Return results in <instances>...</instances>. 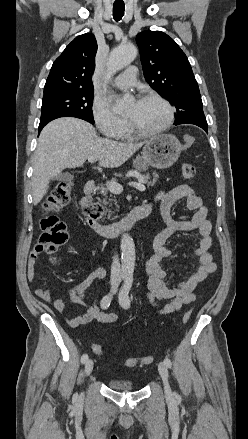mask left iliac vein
<instances>
[{
	"mask_svg": "<svg viewBox=\"0 0 248 439\" xmlns=\"http://www.w3.org/2000/svg\"><path fill=\"white\" fill-rule=\"evenodd\" d=\"M158 371L159 374L162 378L163 384H164V392L167 398H171L172 397V391L169 385V380H168V370H167V366L164 364V362H160L158 364Z\"/></svg>",
	"mask_w": 248,
	"mask_h": 439,
	"instance_id": "left-iliac-vein-1",
	"label": "left iliac vein"
}]
</instances>
